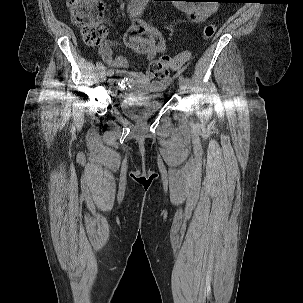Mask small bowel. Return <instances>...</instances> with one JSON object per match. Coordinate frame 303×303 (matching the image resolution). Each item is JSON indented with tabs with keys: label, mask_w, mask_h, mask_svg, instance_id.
Wrapping results in <instances>:
<instances>
[{
	"label": "small bowel",
	"mask_w": 303,
	"mask_h": 303,
	"mask_svg": "<svg viewBox=\"0 0 303 303\" xmlns=\"http://www.w3.org/2000/svg\"><path fill=\"white\" fill-rule=\"evenodd\" d=\"M146 1V0H145ZM216 2L209 0H185L179 7L184 10L188 17L194 22H204L209 19L217 10ZM144 0H132L128 6V13L132 19V25L124 34L122 41L110 40L104 43L99 53L104 62L115 68L121 76L118 80L120 86L126 84H134L138 87H143L151 91L163 90L170 83V77L155 78V76L147 71L135 72L130 71V62L123 55L113 56V48L125 44L133 51L144 55L147 59L152 60L157 54L163 53L166 50V45L161 33L152 24L141 20L140 16L143 11Z\"/></svg>",
	"instance_id": "1"
}]
</instances>
